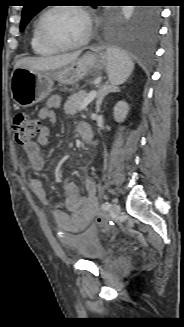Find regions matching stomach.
Listing matches in <instances>:
<instances>
[{
	"mask_svg": "<svg viewBox=\"0 0 184 327\" xmlns=\"http://www.w3.org/2000/svg\"><path fill=\"white\" fill-rule=\"evenodd\" d=\"M105 65V53L88 51L81 58L55 72L18 67L11 75L12 99L19 107H30L50 94L54 81L63 85H75L89 73L98 74Z\"/></svg>",
	"mask_w": 184,
	"mask_h": 327,
	"instance_id": "stomach-1",
	"label": "stomach"
}]
</instances>
